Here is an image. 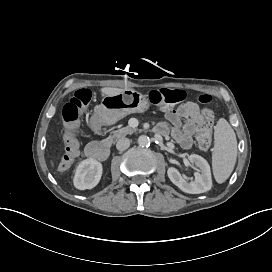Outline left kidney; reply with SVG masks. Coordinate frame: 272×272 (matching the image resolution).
Returning a JSON list of instances; mask_svg holds the SVG:
<instances>
[{
	"label": "left kidney",
	"mask_w": 272,
	"mask_h": 272,
	"mask_svg": "<svg viewBox=\"0 0 272 272\" xmlns=\"http://www.w3.org/2000/svg\"><path fill=\"white\" fill-rule=\"evenodd\" d=\"M188 159L200 169V171L194 173L195 180L188 183L174 167H170L167 171L169 179L186 193L199 194L209 191L212 187V178L208 162L196 154H191Z\"/></svg>",
	"instance_id": "obj_1"
}]
</instances>
